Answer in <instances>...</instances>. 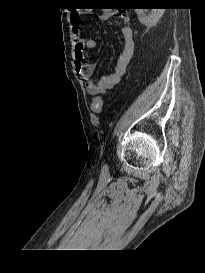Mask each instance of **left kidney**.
Returning a JSON list of instances; mask_svg holds the SVG:
<instances>
[{"mask_svg":"<svg viewBox=\"0 0 205 273\" xmlns=\"http://www.w3.org/2000/svg\"><path fill=\"white\" fill-rule=\"evenodd\" d=\"M139 21L147 28L154 27L159 19L163 16L165 9H151L149 15L146 14L148 9H135Z\"/></svg>","mask_w":205,"mask_h":273,"instance_id":"obj_1","label":"left kidney"}]
</instances>
